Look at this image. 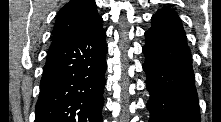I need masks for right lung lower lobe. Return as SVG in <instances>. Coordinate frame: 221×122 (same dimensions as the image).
<instances>
[{"label": "right lung lower lobe", "mask_w": 221, "mask_h": 122, "mask_svg": "<svg viewBox=\"0 0 221 122\" xmlns=\"http://www.w3.org/2000/svg\"><path fill=\"white\" fill-rule=\"evenodd\" d=\"M105 37L100 23L49 50L35 122H102Z\"/></svg>", "instance_id": "obj_1"}]
</instances>
